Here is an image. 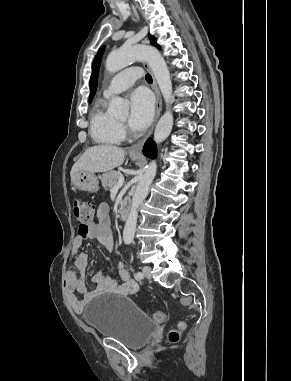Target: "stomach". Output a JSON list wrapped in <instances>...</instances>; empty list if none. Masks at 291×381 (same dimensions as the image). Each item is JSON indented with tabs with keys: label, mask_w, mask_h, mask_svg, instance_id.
Listing matches in <instances>:
<instances>
[{
	"label": "stomach",
	"mask_w": 291,
	"mask_h": 381,
	"mask_svg": "<svg viewBox=\"0 0 291 381\" xmlns=\"http://www.w3.org/2000/svg\"><path fill=\"white\" fill-rule=\"evenodd\" d=\"M132 160H138L139 156L130 154ZM72 184L79 190L88 193H96L99 190V183L94 173L78 172L72 179Z\"/></svg>",
	"instance_id": "obj_1"
}]
</instances>
